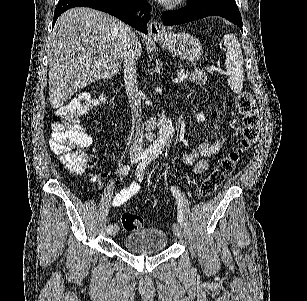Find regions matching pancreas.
<instances>
[{
    "label": "pancreas",
    "mask_w": 307,
    "mask_h": 301,
    "mask_svg": "<svg viewBox=\"0 0 307 301\" xmlns=\"http://www.w3.org/2000/svg\"><path fill=\"white\" fill-rule=\"evenodd\" d=\"M209 76L205 70H191L185 76L184 80H193V82H198V84H206Z\"/></svg>",
    "instance_id": "cf45deb5"
}]
</instances>
